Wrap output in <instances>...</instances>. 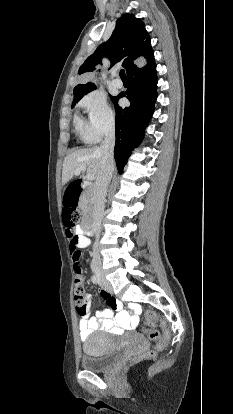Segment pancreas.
Segmentation results:
<instances>
[{
    "mask_svg": "<svg viewBox=\"0 0 233 414\" xmlns=\"http://www.w3.org/2000/svg\"><path fill=\"white\" fill-rule=\"evenodd\" d=\"M91 202H92V195L89 194V193H87V192H85L83 194V196L81 198V202H80V206H81V209L83 210L84 214H86L88 212V210L86 208V205L88 203H91Z\"/></svg>",
    "mask_w": 233,
    "mask_h": 414,
    "instance_id": "cf45deb5",
    "label": "pancreas"
}]
</instances>
